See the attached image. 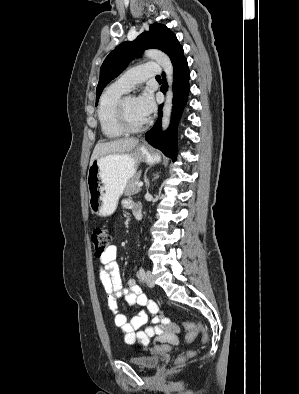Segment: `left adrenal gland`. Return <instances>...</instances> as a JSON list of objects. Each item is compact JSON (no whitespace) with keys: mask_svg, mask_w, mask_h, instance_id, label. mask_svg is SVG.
<instances>
[{"mask_svg":"<svg viewBox=\"0 0 299 394\" xmlns=\"http://www.w3.org/2000/svg\"><path fill=\"white\" fill-rule=\"evenodd\" d=\"M145 184H146V187L148 189L149 188V180L148 179L145 180Z\"/></svg>","mask_w":299,"mask_h":394,"instance_id":"obj_1","label":"left adrenal gland"}]
</instances>
